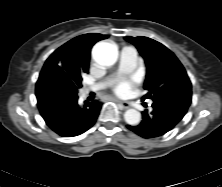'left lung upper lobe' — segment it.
Listing matches in <instances>:
<instances>
[{
	"mask_svg": "<svg viewBox=\"0 0 222 187\" xmlns=\"http://www.w3.org/2000/svg\"><path fill=\"white\" fill-rule=\"evenodd\" d=\"M134 44L146 64L144 89L147 94L142 100L184 89L191 90L189 77L178 58L167 47L148 37H125Z\"/></svg>",
	"mask_w": 222,
	"mask_h": 187,
	"instance_id": "5c2ea615",
	"label": "left lung upper lobe"
}]
</instances>
